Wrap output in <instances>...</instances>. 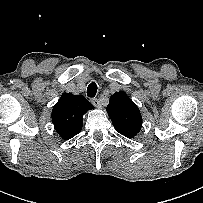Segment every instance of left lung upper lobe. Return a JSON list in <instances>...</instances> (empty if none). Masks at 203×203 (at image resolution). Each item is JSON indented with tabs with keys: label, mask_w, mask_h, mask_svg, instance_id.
<instances>
[{
	"label": "left lung upper lobe",
	"mask_w": 203,
	"mask_h": 203,
	"mask_svg": "<svg viewBox=\"0 0 203 203\" xmlns=\"http://www.w3.org/2000/svg\"><path fill=\"white\" fill-rule=\"evenodd\" d=\"M107 112L120 134L133 138L139 133L142 127L141 113L125 92H116L110 97Z\"/></svg>",
	"instance_id": "obj_1"
}]
</instances>
